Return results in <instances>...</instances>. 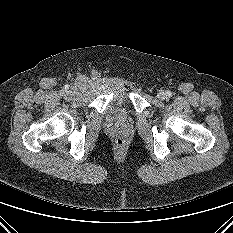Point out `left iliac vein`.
Instances as JSON below:
<instances>
[{"label": "left iliac vein", "mask_w": 233, "mask_h": 233, "mask_svg": "<svg viewBox=\"0 0 233 233\" xmlns=\"http://www.w3.org/2000/svg\"><path fill=\"white\" fill-rule=\"evenodd\" d=\"M157 97L160 99V100H164L166 98V93L163 91V90H160L158 91L157 93Z\"/></svg>", "instance_id": "left-iliac-vein-1"}]
</instances>
